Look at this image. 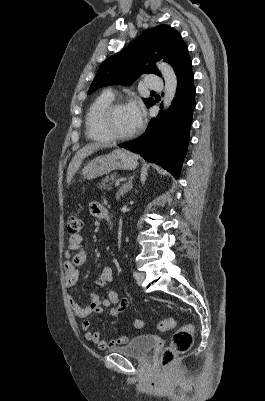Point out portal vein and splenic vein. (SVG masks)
<instances>
[{"instance_id": "1", "label": "portal vein and splenic vein", "mask_w": 265, "mask_h": 401, "mask_svg": "<svg viewBox=\"0 0 265 401\" xmlns=\"http://www.w3.org/2000/svg\"><path fill=\"white\" fill-rule=\"evenodd\" d=\"M115 188H118V184H120V180H116V182H115Z\"/></svg>"}]
</instances>
